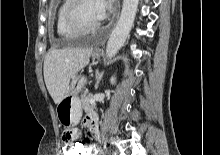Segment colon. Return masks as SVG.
<instances>
[{
	"mask_svg": "<svg viewBox=\"0 0 220 155\" xmlns=\"http://www.w3.org/2000/svg\"><path fill=\"white\" fill-rule=\"evenodd\" d=\"M73 133H75L73 131ZM66 146H61V155H84V142L65 141Z\"/></svg>",
	"mask_w": 220,
	"mask_h": 155,
	"instance_id": "5ec220e1",
	"label": "colon"
}]
</instances>
